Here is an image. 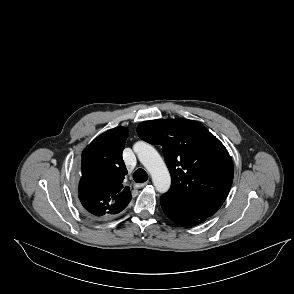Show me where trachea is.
I'll list each match as a JSON object with an SVG mask.
<instances>
[{
  "instance_id": "3493384b",
  "label": "trachea",
  "mask_w": 294,
  "mask_h": 294,
  "mask_svg": "<svg viewBox=\"0 0 294 294\" xmlns=\"http://www.w3.org/2000/svg\"><path fill=\"white\" fill-rule=\"evenodd\" d=\"M133 179L137 183H143V182L147 181L148 174L143 169H137L133 174Z\"/></svg>"
}]
</instances>
